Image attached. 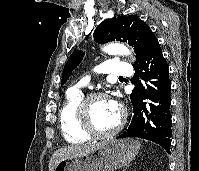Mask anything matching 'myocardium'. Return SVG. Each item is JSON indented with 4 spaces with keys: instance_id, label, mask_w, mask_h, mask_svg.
<instances>
[{
    "instance_id": "obj_1",
    "label": "myocardium",
    "mask_w": 199,
    "mask_h": 171,
    "mask_svg": "<svg viewBox=\"0 0 199 171\" xmlns=\"http://www.w3.org/2000/svg\"><path fill=\"white\" fill-rule=\"evenodd\" d=\"M100 98H107V94L104 92H91L83 96L79 103V116L82 129L86 134L94 138H105L116 135L123 129L126 122V112L124 109H122L119 120L113 128L106 131L98 130L93 122L91 104L94 100Z\"/></svg>"
}]
</instances>
